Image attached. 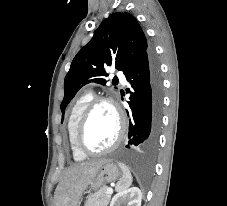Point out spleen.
Instances as JSON below:
<instances>
[{
    "instance_id": "1",
    "label": "spleen",
    "mask_w": 227,
    "mask_h": 206,
    "mask_svg": "<svg viewBox=\"0 0 227 206\" xmlns=\"http://www.w3.org/2000/svg\"><path fill=\"white\" fill-rule=\"evenodd\" d=\"M119 167L121 168L123 175L120 181L116 185V190L117 191H122L125 190L127 187H129L132 184L133 177L131 175V172L129 168L123 164V163H118Z\"/></svg>"
}]
</instances>
